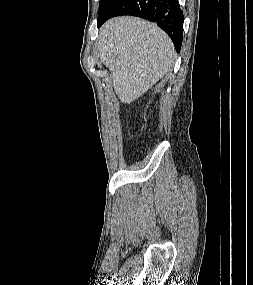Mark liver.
Instances as JSON below:
<instances>
[{"instance_id":"liver-1","label":"liver","mask_w":253,"mask_h":285,"mask_svg":"<svg viewBox=\"0 0 253 285\" xmlns=\"http://www.w3.org/2000/svg\"><path fill=\"white\" fill-rule=\"evenodd\" d=\"M100 59L111 71L123 103H131L166 75L174 64V45L156 24L116 17L100 30Z\"/></svg>"}]
</instances>
